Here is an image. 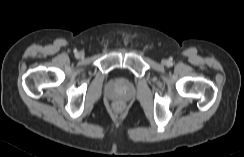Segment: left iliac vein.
Instances as JSON below:
<instances>
[{
    "mask_svg": "<svg viewBox=\"0 0 244 157\" xmlns=\"http://www.w3.org/2000/svg\"><path fill=\"white\" fill-rule=\"evenodd\" d=\"M162 64L167 65L168 64V61L167 60H163L162 61Z\"/></svg>",
    "mask_w": 244,
    "mask_h": 157,
    "instance_id": "4c4485c4",
    "label": "left iliac vein"
}]
</instances>
